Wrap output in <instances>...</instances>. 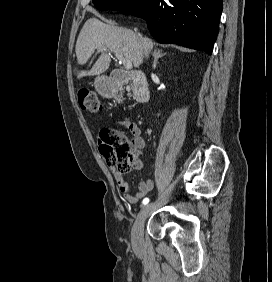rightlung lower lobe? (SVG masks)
<instances>
[{
  "mask_svg": "<svg viewBox=\"0 0 272 282\" xmlns=\"http://www.w3.org/2000/svg\"><path fill=\"white\" fill-rule=\"evenodd\" d=\"M222 0H141L121 12L147 21L152 36L209 55L218 35Z\"/></svg>",
  "mask_w": 272,
  "mask_h": 282,
  "instance_id": "right-lung-lower-lobe-1",
  "label": "right lung lower lobe"
}]
</instances>
